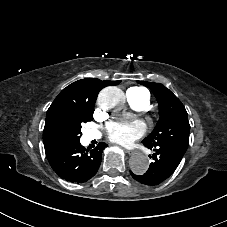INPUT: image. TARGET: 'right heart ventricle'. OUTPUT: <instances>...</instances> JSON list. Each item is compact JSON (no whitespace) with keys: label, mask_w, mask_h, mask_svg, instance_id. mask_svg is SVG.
I'll use <instances>...</instances> for the list:
<instances>
[{"label":"right heart ventricle","mask_w":227,"mask_h":227,"mask_svg":"<svg viewBox=\"0 0 227 227\" xmlns=\"http://www.w3.org/2000/svg\"><path fill=\"white\" fill-rule=\"evenodd\" d=\"M127 92H132V93H137V94H143V93H141L140 91H138L137 89H135V88H129L128 90H127ZM145 96H146V98H147V100H148V96L146 95V94H144Z\"/></svg>","instance_id":"right-heart-ventricle-1"}]
</instances>
